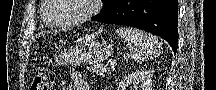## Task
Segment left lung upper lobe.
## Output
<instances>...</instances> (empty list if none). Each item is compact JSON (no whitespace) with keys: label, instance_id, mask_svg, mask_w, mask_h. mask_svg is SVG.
<instances>
[{"label":"left lung upper lobe","instance_id":"5c2ea615","mask_svg":"<svg viewBox=\"0 0 216 90\" xmlns=\"http://www.w3.org/2000/svg\"><path fill=\"white\" fill-rule=\"evenodd\" d=\"M103 2L105 4V8L101 12L112 9L120 2V0H103Z\"/></svg>","mask_w":216,"mask_h":90}]
</instances>
